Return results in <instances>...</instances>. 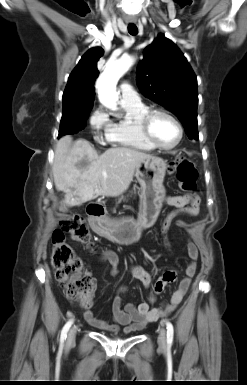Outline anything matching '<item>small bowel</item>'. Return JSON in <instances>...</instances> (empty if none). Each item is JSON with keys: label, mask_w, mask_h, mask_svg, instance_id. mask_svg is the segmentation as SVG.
<instances>
[{"label": "small bowel", "mask_w": 247, "mask_h": 385, "mask_svg": "<svg viewBox=\"0 0 247 385\" xmlns=\"http://www.w3.org/2000/svg\"><path fill=\"white\" fill-rule=\"evenodd\" d=\"M164 202L169 206L178 208L188 216H196L199 213L200 198L195 194L166 196ZM176 224L182 228L188 227V223L185 221L180 220ZM187 253L190 262L185 269V276L180 280L176 290L167 303L157 308H151L150 306V304L155 301L156 296L163 292L166 285L176 279V272L168 270L153 282L152 276L143 267L131 265L129 268L131 275L138 279L144 287L152 288L153 294L149 302H143L137 306L133 303H127L122 306L120 294L127 290L125 286H122L112 301L113 324L97 318L88 308L84 313L85 320L98 329L112 333H118L120 327H123L124 333L129 334L142 330L147 324L169 315L182 301L196 272L198 250L192 242H189L187 245ZM101 258L111 266L110 274L116 276L118 274L117 267L119 264L118 255L112 250H104L101 253Z\"/></svg>", "instance_id": "1"}]
</instances>
